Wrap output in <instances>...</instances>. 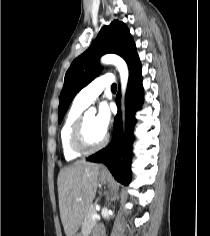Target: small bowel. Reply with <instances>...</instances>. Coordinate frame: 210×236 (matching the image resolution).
<instances>
[{"instance_id":"small-bowel-1","label":"small bowel","mask_w":210,"mask_h":236,"mask_svg":"<svg viewBox=\"0 0 210 236\" xmlns=\"http://www.w3.org/2000/svg\"><path fill=\"white\" fill-rule=\"evenodd\" d=\"M94 236H102L101 230L97 229Z\"/></svg>"}]
</instances>
